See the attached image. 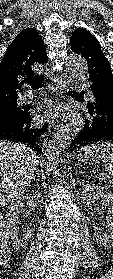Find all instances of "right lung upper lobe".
I'll list each match as a JSON object with an SVG mask.
<instances>
[{
  "label": "right lung upper lobe",
  "instance_id": "obj_1",
  "mask_svg": "<svg viewBox=\"0 0 113 279\" xmlns=\"http://www.w3.org/2000/svg\"><path fill=\"white\" fill-rule=\"evenodd\" d=\"M46 48L39 33L33 28L22 30L9 45L0 63V108L15 104L24 77L34 75V63H46Z\"/></svg>",
  "mask_w": 113,
  "mask_h": 279
}]
</instances>
